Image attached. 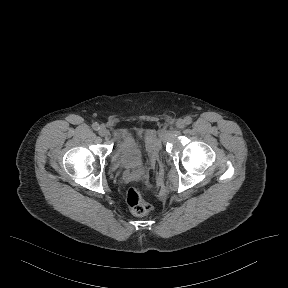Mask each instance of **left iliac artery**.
Segmentation results:
<instances>
[{"label": "left iliac artery", "instance_id": "obj_1", "mask_svg": "<svg viewBox=\"0 0 288 288\" xmlns=\"http://www.w3.org/2000/svg\"><path fill=\"white\" fill-rule=\"evenodd\" d=\"M184 121H185V123H186L187 125H189V124L192 123V118H191L190 116H186V117L184 118Z\"/></svg>", "mask_w": 288, "mask_h": 288}]
</instances>
